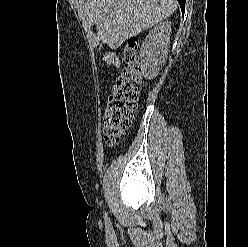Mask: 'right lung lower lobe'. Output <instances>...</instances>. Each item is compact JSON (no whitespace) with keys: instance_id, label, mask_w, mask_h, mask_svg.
Listing matches in <instances>:
<instances>
[{"instance_id":"98d812e1","label":"right lung lower lobe","mask_w":248,"mask_h":247,"mask_svg":"<svg viewBox=\"0 0 248 247\" xmlns=\"http://www.w3.org/2000/svg\"><path fill=\"white\" fill-rule=\"evenodd\" d=\"M180 4V7H181V10H182V13H184L185 11V1L186 0H177Z\"/></svg>"}]
</instances>
